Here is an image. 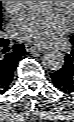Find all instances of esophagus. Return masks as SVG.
I'll return each mask as SVG.
<instances>
[{"instance_id":"obj_1","label":"esophagus","mask_w":74,"mask_h":122,"mask_svg":"<svg viewBox=\"0 0 74 122\" xmlns=\"http://www.w3.org/2000/svg\"><path fill=\"white\" fill-rule=\"evenodd\" d=\"M46 49L45 46H39V45H26V51L33 53V52H42Z\"/></svg>"}]
</instances>
